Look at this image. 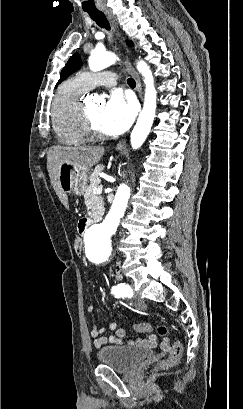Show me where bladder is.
Masks as SVG:
<instances>
[{
  "label": "bladder",
  "mask_w": 243,
  "mask_h": 409,
  "mask_svg": "<svg viewBox=\"0 0 243 409\" xmlns=\"http://www.w3.org/2000/svg\"><path fill=\"white\" fill-rule=\"evenodd\" d=\"M152 356L150 349L124 345H108L97 353L101 364L117 371H129L143 360Z\"/></svg>",
  "instance_id": "bladder-1"
}]
</instances>
